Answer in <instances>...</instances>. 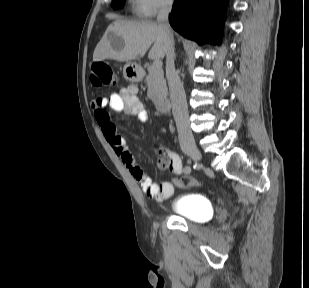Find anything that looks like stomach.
Returning <instances> with one entry per match:
<instances>
[{"label": "stomach", "instance_id": "obj_1", "mask_svg": "<svg viewBox=\"0 0 309 288\" xmlns=\"http://www.w3.org/2000/svg\"><path fill=\"white\" fill-rule=\"evenodd\" d=\"M123 75L129 82L136 83L142 79L140 66L135 62H127L123 68Z\"/></svg>", "mask_w": 309, "mask_h": 288}]
</instances>
